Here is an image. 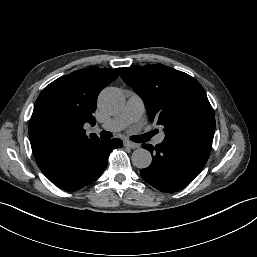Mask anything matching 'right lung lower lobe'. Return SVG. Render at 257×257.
<instances>
[{
	"label": "right lung lower lobe",
	"mask_w": 257,
	"mask_h": 257,
	"mask_svg": "<svg viewBox=\"0 0 257 257\" xmlns=\"http://www.w3.org/2000/svg\"><path fill=\"white\" fill-rule=\"evenodd\" d=\"M122 145L120 139L98 138L63 150L49 159L39 160L37 164L54 185L74 191L98 179L107 167L111 151Z\"/></svg>",
	"instance_id": "right-lung-lower-lobe-1"
}]
</instances>
